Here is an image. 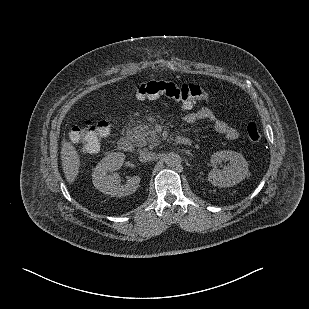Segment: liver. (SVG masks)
I'll return each mask as SVG.
<instances>
[{"mask_svg":"<svg viewBox=\"0 0 309 309\" xmlns=\"http://www.w3.org/2000/svg\"><path fill=\"white\" fill-rule=\"evenodd\" d=\"M61 158L65 178L69 183H72L79 173L80 160L76 149L69 142L63 143Z\"/></svg>","mask_w":309,"mask_h":309,"instance_id":"liver-1","label":"liver"}]
</instances>
